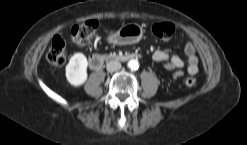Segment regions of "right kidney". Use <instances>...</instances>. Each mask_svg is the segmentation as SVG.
Listing matches in <instances>:
<instances>
[{"instance_id":"obj_1","label":"right kidney","mask_w":247,"mask_h":145,"mask_svg":"<svg viewBox=\"0 0 247 145\" xmlns=\"http://www.w3.org/2000/svg\"><path fill=\"white\" fill-rule=\"evenodd\" d=\"M87 66L88 61L84 54H74L65 68L67 81L75 87L84 84L88 78Z\"/></svg>"}]
</instances>
